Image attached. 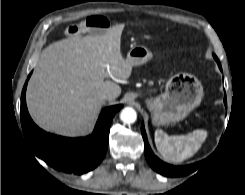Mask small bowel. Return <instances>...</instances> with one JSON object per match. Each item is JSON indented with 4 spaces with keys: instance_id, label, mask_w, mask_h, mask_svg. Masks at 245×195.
<instances>
[{
    "instance_id": "1",
    "label": "small bowel",
    "mask_w": 245,
    "mask_h": 195,
    "mask_svg": "<svg viewBox=\"0 0 245 195\" xmlns=\"http://www.w3.org/2000/svg\"><path fill=\"white\" fill-rule=\"evenodd\" d=\"M110 26L107 18L101 15H90L78 24H73L66 29V34L75 37L88 32H102Z\"/></svg>"
}]
</instances>
